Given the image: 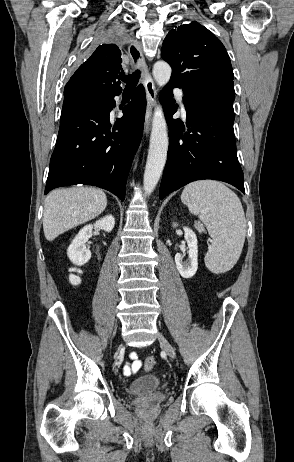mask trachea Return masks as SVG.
Instances as JSON below:
<instances>
[{
	"instance_id": "trachea-1",
	"label": "trachea",
	"mask_w": 294,
	"mask_h": 462,
	"mask_svg": "<svg viewBox=\"0 0 294 462\" xmlns=\"http://www.w3.org/2000/svg\"><path fill=\"white\" fill-rule=\"evenodd\" d=\"M140 78V71L136 70L133 72L131 75H123L120 77L121 80H123L126 83L124 91H133L138 83V80Z\"/></svg>"
}]
</instances>
